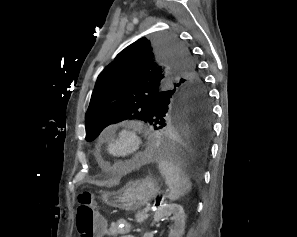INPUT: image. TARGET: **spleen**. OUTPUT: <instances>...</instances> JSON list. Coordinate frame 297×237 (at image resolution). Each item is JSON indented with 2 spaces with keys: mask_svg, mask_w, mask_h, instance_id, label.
Wrapping results in <instances>:
<instances>
[{
  "mask_svg": "<svg viewBox=\"0 0 297 237\" xmlns=\"http://www.w3.org/2000/svg\"><path fill=\"white\" fill-rule=\"evenodd\" d=\"M158 168L165 178V183L171 188L168 195L171 201L178 200L191 191L192 184L189 178L176 163L167 159H159Z\"/></svg>",
  "mask_w": 297,
  "mask_h": 237,
  "instance_id": "spleen-1",
  "label": "spleen"
}]
</instances>
